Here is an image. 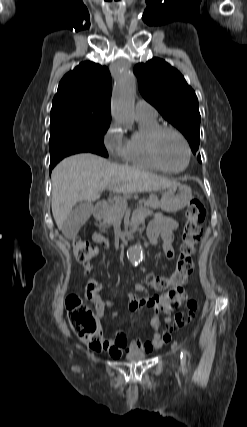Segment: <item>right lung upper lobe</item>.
<instances>
[{
    "label": "right lung upper lobe",
    "instance_id": "obj_1",
    "mask_svg": "<svg viewBox=\"0 0 247 427\" xmlns=\"http://www.w3.org/2000/svg\"><path fill=\"white\" fill-rule=\"evenodd\" d=\"M111 91L108 68L91 61L82 62L60 81L52 102L51 114L76 111L111 118Z\"/></svg>",
    "mask_w": 247,
    "mask_h": 427
}]
</instances>
